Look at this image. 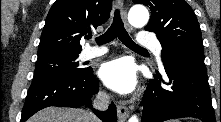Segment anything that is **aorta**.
<instances>
[{"label": "aorta", "instance_id": "obj_1", "mask_svg": "<svg viewBox=\"0 0 221 122\" xmlns=\"http://www.w3.org/2000/svg\"><path fill=\"white\" fill-rule=\"evenodd\" d=\"M128 20L132 26L136 28H142L149 21V12L147 8L143 5H134L128 13ZM129 122H139V120L137 116L133 115L129 119Z\"/></svg>", "mask_w": 221, "mask_h": 122}]
</instances>
